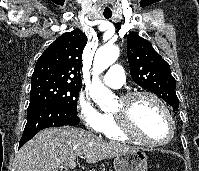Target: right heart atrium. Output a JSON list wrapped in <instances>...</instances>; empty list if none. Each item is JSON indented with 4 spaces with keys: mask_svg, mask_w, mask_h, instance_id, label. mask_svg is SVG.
Returning a JSON list of instances; mask_svg holds the SVG:
<instances>
[{
    "mask_svg": "<svg viewBox=\"0 0 199 171\" xmlns=\"http://www.w3.org/2000/svg\"><path fill=\"white\" fill-rule=\"evenodd\" d=\"M77 114L83 125L94 133L102 132L105 114L93 104L85 92H80L76 100Z\"/></svg>",
    "mask_w": 199,
    "mask_h": 171,
    "instance_id": "1",
    "label": "right heart atrium"
}]
</instances>
